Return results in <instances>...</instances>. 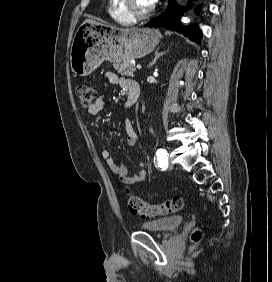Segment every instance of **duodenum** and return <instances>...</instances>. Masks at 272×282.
Wrapping results in <instances>:
<instances>
[{
    "label": "duodenum",
    "mask_w": 272,
    "mask_h": 282,
    "mask_svg": "<svg viewBox=\"0 0 272 282\" xmlns=\"http://www.w3.org/2000/svg\"><path fill=\"white\" fill-rule=\"evenodd\" d=\"M124 82L128 95L124 106L129 108L133 106L140 97V85L137 81L131 79H125Z\"/></svg>",
    "instance_id": "410a0bca"
}]
</instances>
